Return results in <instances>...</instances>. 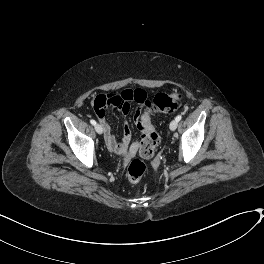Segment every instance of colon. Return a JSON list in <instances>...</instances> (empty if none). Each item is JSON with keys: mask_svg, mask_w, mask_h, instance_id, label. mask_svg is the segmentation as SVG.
Returning <instances> with one entry per match:
<instances>
[{"mask_svg": "<svg viewBox=\"0 0 264 264\" xmlns=\"http://www.w3.org/2000/svg\"><path fill=\"white\" fill-rule=\"evenodd\" d=\"M135 98L143 103L142 93L136 92ZM182 95L180 93H173L171 95L158 94L153 99L144 103L145 110L142 117L137 122L138 129L142 132V139L140 142V155L145 159H150L154 156L155 149L159 143V135L151 124V117L158 112H171L174 111L180 101ZM146 172V165L141 160H133L127 169V179L136 183L139 182Z\"/></svg>", "mask_w": 264, "mask_h": 264, "instance_id": "5ec220e1", "label": "colon"}]
</instances>
